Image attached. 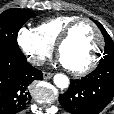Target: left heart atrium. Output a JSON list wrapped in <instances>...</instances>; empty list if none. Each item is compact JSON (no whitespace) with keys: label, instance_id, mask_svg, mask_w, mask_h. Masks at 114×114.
Wrapping results in <instances>:
<instances>
[{"label":"left heart atrium","instance_id":"1","mask_svg":"<svg viewBox=\"0 0 114 114\" xmlns=\"http://www.w3.org/2000/svg\"><path fill=\"white\" fill-rule=\"evenodd\" d=\"M59 62H60L63 66L67 67V65L65 64V62H64L61 58L59 59Z\"/></svg>","mask_w":114,"mask_h":114}]
</instances>
